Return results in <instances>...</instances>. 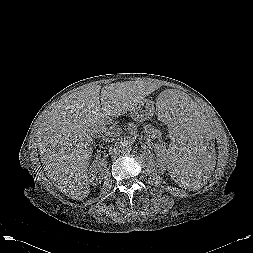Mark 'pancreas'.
I'll use <instances>...</instances> for the list:
<instances>
[{
  "label": "pancreas",
  "instance_id": "obj_1",
  "mask_svg": "<svg viewBox=\"0 0 253 253\" xmlns=\"http://www.w3.org/2000/svg\"><path fill=\"white\" fill-rule=\"evenodd\" d=\"M99 131L100 133H104L103 139L106 141H113L120 134V130L115 129L114 127H110V128L103 127Z\"/></svg>",
  "mask_w": 253,
  "mask_h": 253
}]
</instances>
